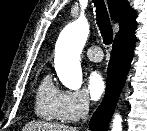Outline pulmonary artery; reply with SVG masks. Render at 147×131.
<instances>
[{
    "label": "pulmonary artery",
    "instance_id": "e3ab8cb5",
    "mask_svg": "<svg viewBox=\"0 0 147 131\" xmlns=\"http://www.w3.org/2000/svg\"><path fill=\"white\" fill-rule=\"evenodd\" d=\"M87 57L93 62H100L103 58L102 50L98 46H91L86 51Z\"/></svg>",
    "mask_w": 147,
    "mask_h": 131
}]
</instances>
